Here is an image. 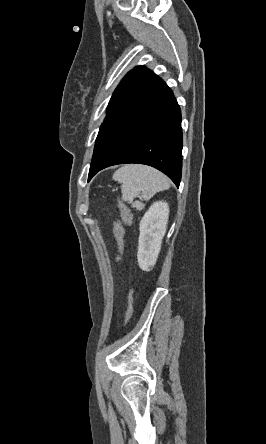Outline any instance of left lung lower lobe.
<instances>
[{"mask_svg": "<svg viewBox=\"0 0 266 444\" xmlns=\"http://www.w3.org/2000/svg\"><path fill=\"white\" fill-rule=\"evenodd\" d=\"M141 163L165 173L179 187L182 170L181 111L162 81L101 125L88 181L117 164Z\"/></svg>", "mask_w": 266, "mask_h": 444, "instance_id": "1", "label": "left lung lower lobe"}]
</instances>
